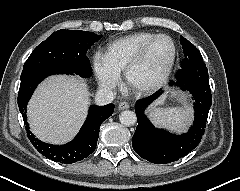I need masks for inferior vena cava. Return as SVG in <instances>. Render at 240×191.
Returning <instances> with one entry per match:
<instances>
[{"mask_svg":"<svg viewBox=\"0 0 240 191\" xmlns=\"http://www.w3.org/2000/svg\"><path fill=\"white\" fill-rule=\"evenodd\" d=\"M115 98V94L112 90L101 88L96 92L95 103L97 105H106L111 103Z\"/></svg>","mask_w":240,"mask_h":191,"instance_id":"obj_1","label":"inferior vena cava"}]
</instances>
